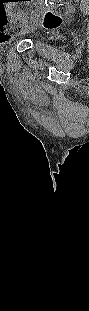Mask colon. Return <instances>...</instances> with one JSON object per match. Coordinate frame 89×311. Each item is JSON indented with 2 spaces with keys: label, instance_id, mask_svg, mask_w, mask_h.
I'll return each mask as SVG.
<instances>
[{
  "label": "colon",
  "instance_id": "colon-1",
  "mask_svg": "<svg viewBox=\"0 0 89 311\" xmlns=\"http://www.w3.org/2000/svg\"><path fill=\"white\" fill-rule=\"evenodd\" d=\"M4 22H7L6 15L3 16ZM61 23V17L57 13L47 12L44 15L43 26L45 28L51 29L57 27ZM15 30H21L23 28V24L17 23L13 25Z\"/></svg>",
  "mask_w": 89,
  "mask_h": 311
}]
</instances>
